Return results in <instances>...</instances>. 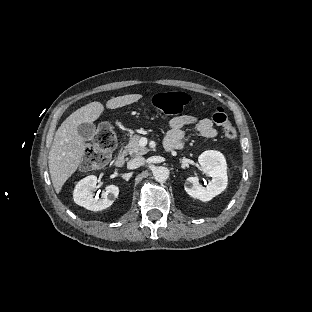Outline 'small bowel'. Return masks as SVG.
<instances>
[{
    "instance_id": "1",
    "label": "small bowel",
    "mask_w": 312,
    "mask_h": 312,
    "mask_svg": "<svg viewBox=\"0 0 312 312\" xmlns=\"http://www.w3.org/2000/svg\"><path fill=\"white\" fill-rule=\"evenodd\" d=\"M193 126L194 130L202 137L211 139L217 135L212 120L209 118H201L192 114H183L170 119L168 125L167 136L165 138V146H175L176 150H181L184 146L185 133L184 127Z\"/></svg>"
}]
</instances>
